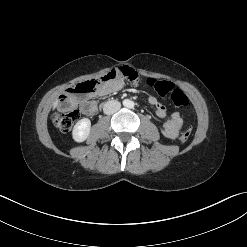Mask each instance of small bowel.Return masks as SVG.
Segmentation results:
<instances>
[{
    "mask_svg": "<svg viewBox=\"0 0 247 247\" xmlns=\"http://www.w3.org/2000/svg\"><path fill=\"white\" fill-rule=\"evenodd\" d=\"M120 73L117 78L102 84L96 91L98 95L104 96L121 90L124 86V78L122 72H129L136 74L133 69L129 67H122L117 69ZM127 79V78H126ZM148 102L155 108V113L158 117L164 118L167 116V108L156 97L150 96ZM81 111L88 116H92L97 111V105L93 101L86 100L81 104ZM183 121L178 112H173L163 126V134L165 137L174 139L179 135Z\"/></svg>",
    "mask_w": 247,
    "mask_h": 247,
    "instance_id": "small-bowel-1",
    "label": "small bowel"
}]
</instances>
